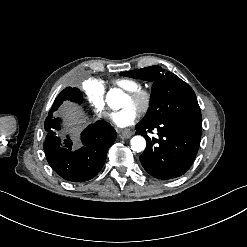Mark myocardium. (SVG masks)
I'll return each mask as SVG.
<instances>
[{"label":"myocardium","mask_w":247,"mask_h":247,"mask_svg":"<svg viewBox=\"0 0 247 247\" xmlns=\"http://www.w3.org/2000/svg\"><path fill=\"white\" fill-rule=\"evenodd\" d=\"M131 100L139 105L142 111H148L151 106L152 95L145 90H136L130 96Z\"/></svg>","instance_id":"1"}]
</instances>
